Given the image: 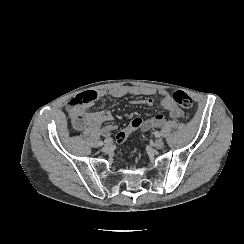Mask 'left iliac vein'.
Masks as SVG:
<instances>
[{
    "label": "left iliac vein",
    "mask_w": 244,
    "mask_h": 244,
    "mask_svg": "<svg viewBox=\"0 0 244 244\" xmlns=\"http://www.w3.org/2000/svg\"><path fill=\"white\" fill-rule=\"evenodd\" d=\"M164 145V142L161 139H157L154 142V147L157 149H161Z\"/></svg>",
    "instance_id": "obj_1"
}]
</instances>
